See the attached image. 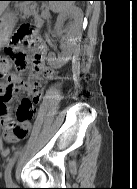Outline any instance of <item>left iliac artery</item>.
Returning <instances> with one entry per match:
<instances>
[{
    "label": "left iliac artery",
    "mask_w": 137,
    "mask_h": 189,
    "mask_svg": "<svg viewBox=\"0 0 137 189\" xmlns=\"http://www.w3.org/2000/svg\"><path fill=\"white\" fill-rule=\"evenodd\" d=\"M19 154L20 150H17L6 166L4 177L5 182L8 186H13V181L11 179V171Z\"/></svg>",
    "instance_id": "1"
}]
</instances>
